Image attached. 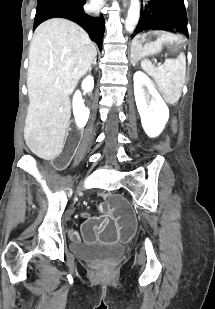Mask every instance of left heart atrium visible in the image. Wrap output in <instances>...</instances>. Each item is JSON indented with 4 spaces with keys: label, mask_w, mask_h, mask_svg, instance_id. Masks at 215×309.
Instances as JSON below:
<instances>
[{
    "label": "left heart atrium",
    "mask_w": 215,
    "mask_h": 309,
    "mask_svg": "<svg viewBox=\"0 0 215 309\" xmlns=\"http://www.w3.org/2000/svg\"><path fill=\"white\" fill-rule=\"evenodd\" d=\"M95 11L96 12H101L102 11V6L101 5H96L95 6Z\"/></svg>",
    "instance_id": "left-heart-atrium-1"
}]
</instances>
